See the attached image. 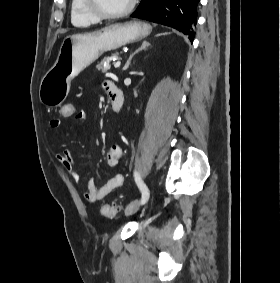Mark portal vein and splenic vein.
Here are the masks:
<instances>
[{
  "label": "portal vein and splenic vein",
  "mask_w": 280,
  "mask_h": 283,
  "mask_svg": "<svg viewBox=\"0 0 280 283\" xmlns=\"http://www.w3.org/2000/svg\"><path fill=\"white\" fill-rule=\"evenodd\" d=\"M120 65H121V61H120V60H118V61H116V62L114 63V67H115V68L120 67Z\"/></svg>",
  "instance_id": "portal-vein-and-splenic-vein-1"
}]
</instances>
